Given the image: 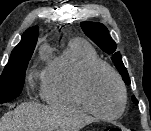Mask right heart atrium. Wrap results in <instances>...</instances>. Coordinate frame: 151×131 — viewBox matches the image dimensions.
I'll use <instances>...</instances> for the list:
<instances>
[{
    "label": "right heart atrium",
    "instance_id": "d8ad5b80",
    "mask_svg": "<svg viewBox=\"0 0 151 131\" xmlns=\"http://www.w3.org/2000/svg\"><path fill=\"white\" fill-rule=\"evenodd\" d=\"M43 72L44 70H36V71H33L30 75V82L32 84H34L36 82V80H41L42 79V76H43Z\"/></svg>",
    "mask_w": 151,
    "mask_h": 131
}]
</instances>
